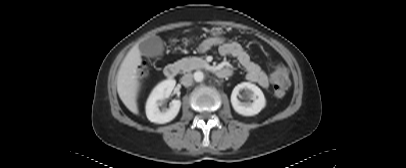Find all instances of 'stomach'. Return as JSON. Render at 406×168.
<instances>
[{
    "instance_id": "stomach-1",
    "label": "stomach",
    "mask_w": 406,
    "mask_h": 168,
    "mask_svg": "<svg viewBox=\"0 0 406 168\" xmlns=\"http://www.w3.org/2000/svg\"><path fill=\"white\" fill-rule=\"evenodd\" d=\"M213 34H214V35H220V34H222V30L219 29V28H214V29H213Z\"/></svg>"
}]
</instances>
